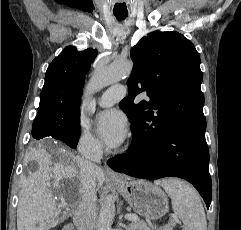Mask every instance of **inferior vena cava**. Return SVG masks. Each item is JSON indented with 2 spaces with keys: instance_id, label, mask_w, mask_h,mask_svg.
I'll return each instance as SVG.
<instances>
[{
  "instance_id": "1",
  "label": "inferior vena cava",
  "mask_w": 241,
  "mask_h": 230,
  "mask_svg": "<svg viewBox=\"0 0 241 230\" xmlns=\"http://www.w3.org/2000/svg\"><path fill=\"white\" fill-rule=\"evenodd\" d=\"M82 154L85 158L80 167L82 198L74 211L73 222L77 230H95L97 217L95 162L100 161L102 150L98 147L91 148Z\"/></svg>"
}]
</instances>
